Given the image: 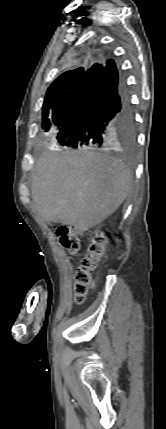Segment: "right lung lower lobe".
<instances>
[{
    "instance_id": "right-lung-lower-lobe-1",
    "label": "right lung lower lobe",
    "mask_w": 166,
    "mask_h": 429,
    "mask_svg": "<svg viewBox=\"0 0 166 429\" xmlns=\"http://www.w3.org/2000/svg\"><path fill=\"white\" fill-rule=\"evenodd\" d=\"M134 124L126 78L113 59L85 72L58 132L61 145L102 146L119 128Z\"/></svg>"
}]
</instances>
